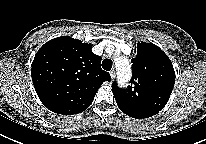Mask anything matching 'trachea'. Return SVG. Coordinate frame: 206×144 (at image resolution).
Returning <instances> with one entry per match:
<instances>
[{
	"label": "trachea",
	"mask_w": 206,
	"mask_h": 144,
	"mask_svg": "<svg viewBox=\"0 0 206 144\" xmlns=\"http://www.w3.org/2000/svg\"><path fill=\"white\" fill-rule=\"evenodd\" d=\"M112 61L110 59H104L102 62V68L106 71H110L112 69Z\"/></svg>",
	"instance_id": "obj_1"
}]
</instances>
